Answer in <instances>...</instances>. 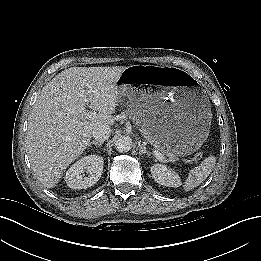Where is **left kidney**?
I'll return each instance as SVG.
<instances>
[{"label": "left kidney", "instance_id": "5707ae66", "mask_svg": "<svg viewBox=\"0 0 261 261\" xmlns=\"http://www.w3.org/2000/svg\"><path fill=\"white\" fill-rule=\"evenodd\" d=\"M153 179L160 185L167 187H179L181 179L179 175L171 168L163 164H156L151 167Z\"/></svg>", "mask_w": 261, "mask_h": 261}]
</instances>
